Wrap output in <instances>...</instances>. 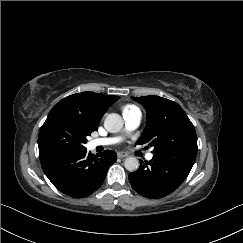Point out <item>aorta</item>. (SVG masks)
I'll return each instance as SVG.
<instances>
[{
	"instance_id": "aorta-1",
	"label": "aorta",
	"mask_w": 243,
	"mask_h": 243,
	"mask_svg": "<svg viewBox=\"0 0 243 243\" xmlns=\"http://www.w3.org/2000/svg\"><path fill=\"white\" fill-rule=\"evenodd\" d=\"M104 127L108 132H119L123 128V120L119 114L111 113L105 118ZM124 166L128 171L133 172L139 168V161L136 157H128L124 161Z\"/></svg>"
}]
</instances>
